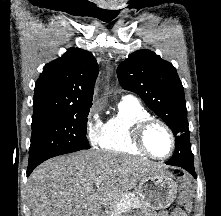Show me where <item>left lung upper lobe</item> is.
Listing matches in <instances>:
<instances>
[{"label": "left lung upper lobe", "mask_w": 221, "mask_h": 216, "mask_svg": "<svg viewBox=\"0 0 221 216\" xmlns=\"http://www.w3.org/2000/svg\"><path fill=\"white\" fill-rule=\"evenodd\" d=\"M120 85L137 93L171 128L176 146L191 150L184 89L175 67L150 50L132 53L117 68Z\"/></svg>", "instance_id": "1"}]
</instances>
